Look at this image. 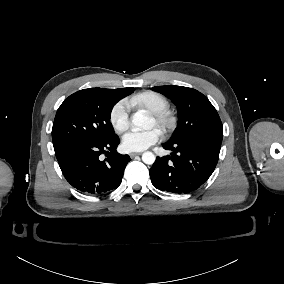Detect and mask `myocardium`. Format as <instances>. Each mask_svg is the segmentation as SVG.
<instances>
[{
  "label": "myocardium",
  "mask_w": 284,
  "mask_h": 284,
  "mask_svg": "<svg viewBox=\"0 0 284 284\" xmlns=\"http://www.w3.org/2000/svg\"><path fill=\"white\" fill-rule=\"evenodd\" d=\"M155 125L162 131L166 132V130L170 126V119L166 112L156 113L154 117Z\"/></svg>",
  "instance_id": "f54148a6"
}]
</instances>
